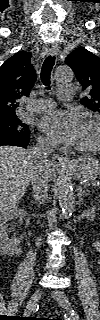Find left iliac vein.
<instances>
[{"instance_id":"left-iliac-vein-1","label":"left iliac vein","mask_w":100,"mask_h":320,"mask_svg":"<svg viewBox=\"0 0 100 320\" xmlns=\"http://www.w3.org/2000/svg\"><path fill=\"white\" fill-rule=\"evenodd\" d=\"M57 303L72 313V320H80L79 315L73 311L67 295L61 290H55L51 293Z\"/></svg>"}]
</instances>
